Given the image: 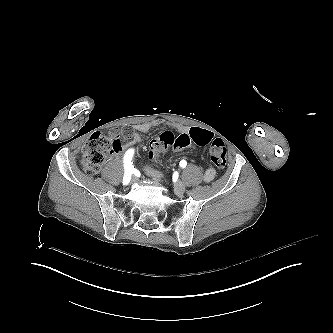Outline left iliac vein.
Listing matches in <instances>:
<instances>
[{
	"label": "left iliac vein",
	"instance_id": "obj_1",
	"mask_svg": "<svg viewBox=\"0 0 333 333\" xmlns=\"http://www.w3.org/2000/svg\"><path fill=\"white\" fill-rule=\"evenodd\" d=\"M145 171L150 173L146 168ZM185 191V186L181 181H177L174 185V192L178 195L183 194Z\"/></svg>",
	"mask_w": 333,
	"mask_h": 333
}]
</instances>
